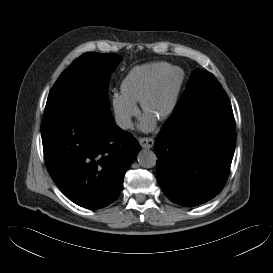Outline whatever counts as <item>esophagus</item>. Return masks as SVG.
Segmentation results:
<instances>
[{
  "mask_svg": "<svg viewBox=\"0 0 273 273\" xmlns=\"http://www.w3.org/2000/svg\"><path fill=\"white\" fill-rule=\"evenodd\" d=\"M139 144L143 148L150 149L154 145V140L150 137H141L139 138Z\"/></svg>",
  "mask_w": 273,
  "mask_h": 273,
  "instance_id": "esophagus-1",
  "label": "esophagus"
}]
</instances>
